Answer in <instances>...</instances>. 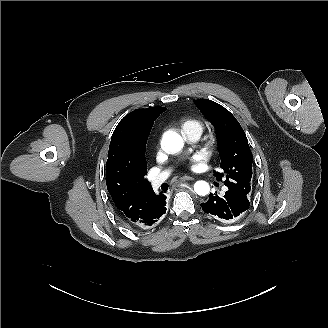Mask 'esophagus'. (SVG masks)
Instances as JSON below:
<instances>
[{"instance_id": "obj_1", "label": "esophagus", "mask_w": 328, "mask_h": 328, "mask_svg": "<svg viewBox=\"0 0 328 328\" xmlns=\"http://www.w3.org/2000/svg\"><path fill=\"white\" fill-rule=\"evenodd\" d=\"M192 180H194V178L190 176H183L180 178V181H192Z\"/></svg>"}]
</instances>
